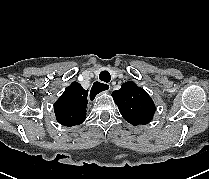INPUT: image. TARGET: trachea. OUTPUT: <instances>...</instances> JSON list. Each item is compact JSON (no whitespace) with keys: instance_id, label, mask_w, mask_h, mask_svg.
Wrapping results in <instances>:
<instances>
[{"instance_id":"1","label":"trachea","mask_w":209,"mask_h":179,"mask_svg":"<svg viewBox=\"0 0 209 179\" xmlns=\"http://www.w3.org/2000/svg\"><path fill=\"white\" fill-rule=\"evenodd\" d=\"M99 79L103 82H106L108 83L110 80H111V76H110V73L108 71H102L100 74H99Z\"/></svg>"}]
</instances>
